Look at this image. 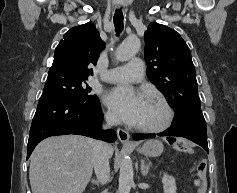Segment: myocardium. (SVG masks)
I'll return each mask as SVG.
<instances>
[{
	"label": "myocardium",
	"instance_id": "f54148a6",
	"mask_svg": "<svg viewBox=\"0 0 237 193\" xmlns=\"http://www.w3.org/2000/svg\"><path fill=\"white\" fill-rule=\"evenodd\" d=\"M151 101L156 102L160 105L165 113L163 121L155 126H143V125H136L135 128L141 132L145 133H160L168 129L173 120H174V110L172 109L171 105L167 102L165 98L162 96L154 95L150 97Z\"/></svg>",
	"mask_w": 237,
	"mask_h": 193
}]
</instances>
